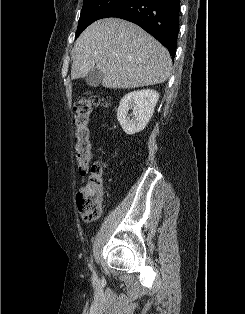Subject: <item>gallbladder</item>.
I'll list each match as a JSON object with an SVG mask.
<instances>
[{
  "label": "gallbladder",
  "mask_w": 245,
  "mask_h": 314,
  "mask_svg": "<svg viewBox=\"0 0 245 314\" xmlns=\"http://www.w3.org/2000/svg\"><path fill=\"white\" fill-rule=\"evenodd\" d=\"M103 79V73L97 68L94 67L87 75H86V83L91 87H97L100 85Z\"/></svg>",
  "instance_id": "obj_1"
}]
</instances>
